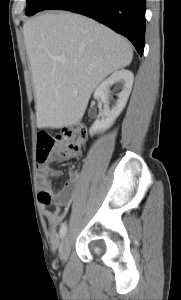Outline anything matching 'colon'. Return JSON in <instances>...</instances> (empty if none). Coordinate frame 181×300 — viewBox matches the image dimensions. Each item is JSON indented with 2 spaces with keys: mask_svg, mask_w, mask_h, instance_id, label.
Segmentation results:
<instances>
[{
  "mask_svg": "<svg viewBox=\"0 0 181 300\" xmlns=\"http://www.w3.org/2000/svg\"><path fill=\"white\" fill-rule=\"evenodd\" d=\"M87 139L86 127L78 124L66 128L61 135L52 137L47 133L37 136V161H46L49 152L56 147V153L62 158H69L80 152Z\"/></svg>",
  "mask_w": 181,
  "mask_h": 300,
  "instance_id": "obj_1",
  "label": "colon"
}]
</instances>
